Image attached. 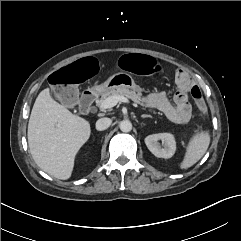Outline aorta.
<instances>
[{
    "label": "aorta",
    "mask_w": 241,
    "mask_h": 241,
    "mask_svg": "<svg viewBox=\"0 0 241 241\" xmlns=\"http://www.w3.org/2000/svg\"><path fill=\"white\" fill-rule=\"evenodd\" d=\"M120 130L122 132H130L132 130V123L129 120H123L120 122Z\"/></svg>",
    "instance_id": "obj_1"
}]
</instances>
